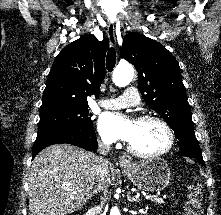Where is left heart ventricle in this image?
<instances>
[{"label":"left heart ventricle","mask_w":221,"mask_h":215,"mask_svg":"<svg viewBox=\"0 0 221 215\" xmlns=\"http://www.w3.org/2000/svg\"><path fill=\"white\" fill-rule=\"evenodd\" d=\"M129 143L141 152L151 153L163 149L167 136L163 127L155 121H137L135 131Z\"/></svg>","instance_id":"b2bd125f"}]
</instances>
